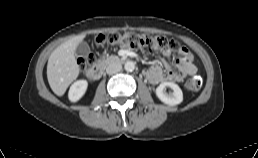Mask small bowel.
<instances>
[{
    "label": "small bowel",
    "mask_w": 258,
    "mask_h": 158,
    "mask_svg": "<svg viewBox=\"0 0 258 158\" xmlns=\"http://www.w3.org/2000/svg\"><path fill=\"white\" fill-rule=\"evenodd\" d=\"M169 54L170 52H163L164 57H168ZM179 54L180 57L175 60L176 69H173L167 63H165V69L158 64L152 65L145 73L148 80L153 84L166 81L180 82L184 77L194 75L197 68L193 62L191 52L187 48L181 47Z\"/></svg>",
    "instance_id": "1"
}]
</instances>
